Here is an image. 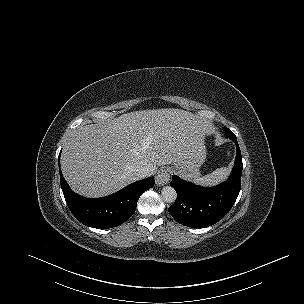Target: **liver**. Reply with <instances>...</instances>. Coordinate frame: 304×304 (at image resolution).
I'll return each mask as SVG.
<instances>
[{"instance_id":"1","label":"liver","mask_w":304,"mask_h":304,"mask_svg":"<svg viewBox=\"0 0 304 304\" xmlns=\"http://www.w3.org/2000/svg\"><path fill=\"white\" fill-rule=\"evenodd\" d=\"M207 129L196 115L170 108L80 126L63 148L61 170L75 192L106 196L137 181V167L155 173L159 166L179 165L191 152L204 149Z\"/></svg>"}]
</instances>
